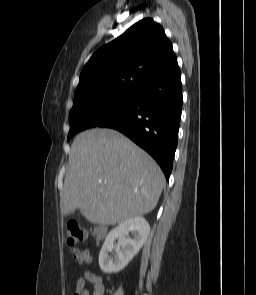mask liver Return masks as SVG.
Returning a JSON list of instances; mask_svg holds the SVG:
<instances>
[{
    "label": "liver",
    "instance_id": "1",
    "mask_svg": "<svg viewBox=\"0 0 256 295\" xmlns=\"http://www.w3.org/2000/svg\"><path fill=\"white\" fill-rule=\"evenodd\" d=\"M165 186L155 160L121 133L91 129L72 143L63 215L79 209L91 223L115 225L150 213Z\"/></svg>",
    "mask_w": 256,
    "mask_h": 295
}]
</instances>
